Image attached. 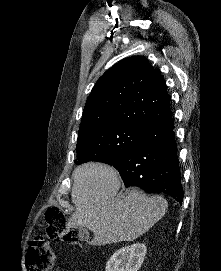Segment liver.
<instances>
[{"label": "liver", "mask_w": 221, "mask_h": 271, "mask_svg": "<svg viewBox=\"0 0 221 271\" xmlns=\"http://www.w3.org/2000/svg\"><path fill=\"white\" fill-rule=\"evenodd\" d=\"M71 191L76 207L69 227H87L94 233L90 245L133 241L165 215L168 203L162 195H146L130 187L116 197L121 179L106 163H82L75 167Z\"/></svg>", "instance_id": "6515ba94"}]
</instances>
